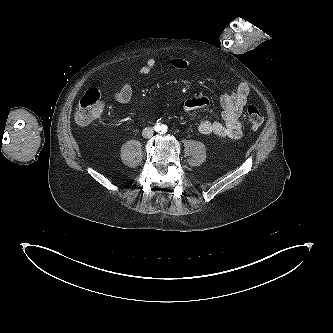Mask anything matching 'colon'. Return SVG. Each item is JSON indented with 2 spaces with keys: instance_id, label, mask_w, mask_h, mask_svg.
<instances>
[{
  "instance_id": "colon-1",
  "label": "colon",
  "mask_w": 333,
  "mask_h": 333,
  "mask_svg": "<svg viewBox=\"0 0 333 333\" xmlns=\"http://www.w3.org/2000/svg\"><path fill=\"white\" fill-rule=\"evenodd\" d=\"M103 109L100 90L96 87L87 89L79 100L75 111V120L79 125H89L99 117ZM247 123L253 130L263 124V116L258 107L249 105L246 111Z\"/></svg>"
}]
</instances>
